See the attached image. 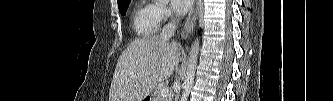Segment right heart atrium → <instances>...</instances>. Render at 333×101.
<instances>
[{"mask_svg": "<svg viewBox=\"0 0 333 101\" xmlns=\"http://www.w3.org/2000/svg\"><path fill=\"white\" fill-rule=\"evenodd\" d=\"M156 14L160 21H167L172 17V11L166 4H158L156 6Z\"/></svg>", "mask_w": 333, "mask_h": 101, "instance_id": "obj_1", "label": "right heart atrium"}]
</instances>
